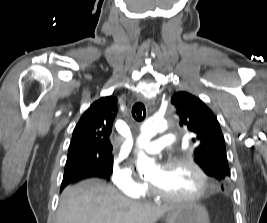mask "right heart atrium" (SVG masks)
Listing matches in <instances>:
<instances>
[{
	"mask_svg": "<svg viewBox=\"0 0 267 223\" xmlns=\"http://www.w3.org/2000/svg\"><path fill=\"white\" fill-rule=\"evenodd\" d=\"M111 179L121 194L130 197H141L147 190V185L136 178L132 167L127 164L114 163Z\"/></svg>",
	"mask_w": 267,
	"mask_h": 223,
	"instance_id": "1",
	"label": "right heart atrium"
}]
</instances>
